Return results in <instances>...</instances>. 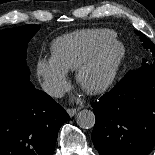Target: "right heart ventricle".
Returning <instances> with one entry per match:
<instances>
[{
	"instance_id": "obj_1",
	"label": "right heart ventricle",
	"mask_w": 155,
	"mask_h": 155,
	"mask_svg": "<svg viewBox=\"0 0 155 155\" xmlns=\"http://www.w3.org/2000/svg\"><path fill=\"white\" fill-rule=\"evenodd\" d=\"M116 37L109 29H84L59 37L52 44V58L66 71L77 69L106 41Z\"/></svg>"
}]
</instances>
